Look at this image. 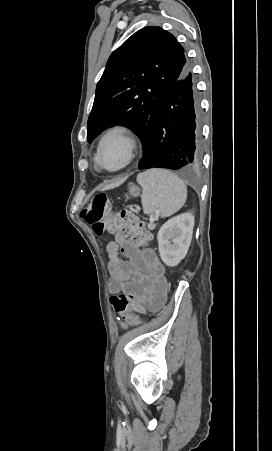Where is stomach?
Listing matches in <instances>:
<instances>
[{
    "mask_svg": "<svg viewBox=\"0 0 272 451\" xmlns=\"http://www.w3.org/2000/svg\"><path fill=\"white\" fill-rule=\"evenodd\" d=\"M129 192H130V196H140V188H138V186H131V188H129Z\"/></svg>",
    "mask_w": 272,
    "mask_h": 451,
    "instance_id": "stomach-1",
    "label": "stomach"
}]
</instances>
